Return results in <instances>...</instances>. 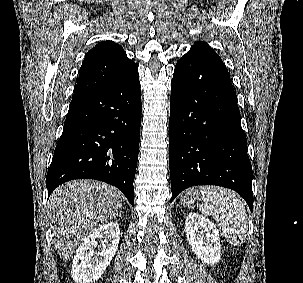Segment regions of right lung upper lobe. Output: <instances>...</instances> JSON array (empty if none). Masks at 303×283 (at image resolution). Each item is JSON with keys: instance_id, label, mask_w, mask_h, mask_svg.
I'll return each instance as SVG.
<instances>
[{"instance_id": "obj_1", "label": "right lung upper lobe", "mask_w": 303, "mask_h": 283, "mask_svg": "<svg viewBox=\"0 0 303 283\" xmlns=\"http://www.w3.org/2000/svg\"><path fill=\"white\" fill-rule=\"evenodd\" d=\"M137 74L136 64L119 44L100 42L84 58L73 99L110 89Z\"/></svg>"}]
</instances>
